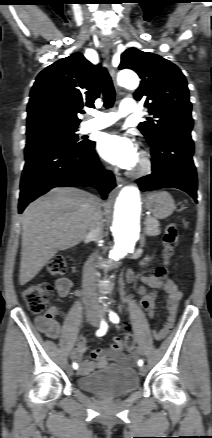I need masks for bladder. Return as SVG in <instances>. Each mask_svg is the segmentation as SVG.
Returning <instances> with one entry per match:
<instances>
[{
  "instance_id": "31cf9c89",
  "label": "bladder",
  "mask_w": 212,
  "mask_h": 438,
  "mask_svg": "<svg viewBox=\"0 0 212 438\" xmlns=\"http://www.w3.org/2000/svg\"><path fill=\"white\" fill-rule=\"evenodd\" d=\"M77 384L91 393L119 397L137 390L139 380L133 368L113 366L80 377Z\"/></svg>"
}]
</instances>
